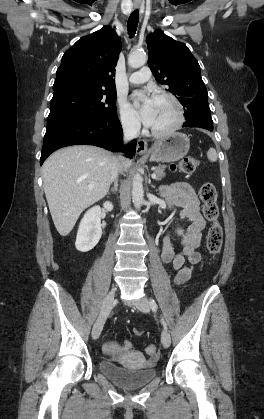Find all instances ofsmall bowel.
Here are the masks:
<instances>
[{"mask_svg": "<svg viewBox=\"0 0 264 419\" xmlns=\"http://www.w3.org/2000/svg\"><path fill=\"white\" fill-rule=\"evenodd\" d=\"M163 197L170 208L179 207L180 217L191 222L180 242V251L176 252L169 234L163 238L161 258L164 263L170 264L176 272L174 282L182 284L192 275L194 268L202 261V254L198 250L201 247L202 232L206 222L200 213V203L196 195L195 187L188 182H178L163 185L161 188ZM140 334L139 330H135ZM131 343H105L103 352L114 358L120 359L130 352Z\"/></svg>", "mask_w": 264, "mask_h": 419, "instance_id": "1", "label": "small bowel"}]
</instances>
